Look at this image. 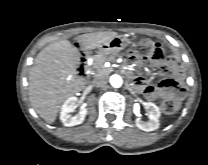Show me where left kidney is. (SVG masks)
Returning a JSON list of instances; mask_svg holds the SVG:
<instances>
[{"label":"left kidney","mask_w":208,"mask_h":165,"mask_svg":"<svg viewBox=\"0 0 208 165\" xmlns=\"http://www.w3.org/2000/svg\"><path fill=\"white\" fill-rule=\"evenodd\" d=\"M145 107L148 109V121H142L140 118L135 120L136 126L146 132L153 131L159 128L160 110L152 102H146Z\"/></svg>","instance_id":"obj_1"}]
</instances>
